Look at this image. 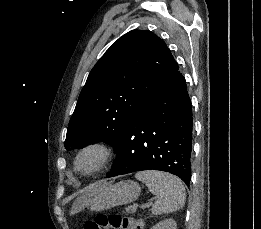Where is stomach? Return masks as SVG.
Listing matches in <instances>:
<instances>
[{"instance_id":"0dacf381","label":"stomach","mask_w":261,"mask_h":229,"mask_svg":"<svg viewBox=\"0 0 261 229\" xmlns=\"http://www.w3.org/2000/svg\"><path fill=\"white\" fill-rule=\"evenodd\" d=\"M141 189L134 181H120V183H106L97 181L88 187L85 203L90 211H107L118 205H128L138 199Z\"/></svg>"}]
</instances>
